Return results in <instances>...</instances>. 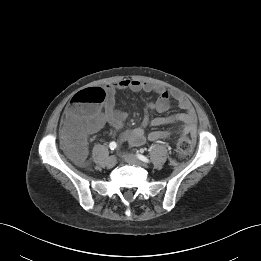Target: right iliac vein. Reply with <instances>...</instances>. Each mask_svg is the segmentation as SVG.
<instances>
[{
	"mask_svg": "<svg viewBox=\"0 0 261 261\" xmlns=\"http://www.w3.org/2000/svg\"><path fill=\"white\" fill-rule=\"evenodd\" d=\"M116 157L115 156H110L107 161H106V165L108 168H112L116 165Z\"/></svg>",
	"mask_w": 261,
	"mask_h": 261,
	"instance_id": "63e3f726",
	"label": "right iliac vein"
}]
</instances>
